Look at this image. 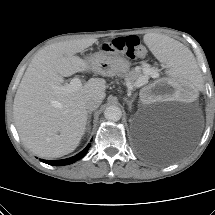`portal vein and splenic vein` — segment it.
<instances>
[{
	"mask_svg": "<svg viewBox=\"0 0 215 215\" xmlns=\"http://www.w3.org/2000/svg\"><path fill=\"white\" fill-rule=\"evenodd\" d=\"M152 77L153 78H157L158 77V73L157 72H153L152 73ZM138 87L143 86L144 84L147 83V78L142 77L140 78L138 81ZM82 86L81 80L79 77H74L69 84L63 85V86H56L55 89L59 92V93H71L74 92L76 90H78L80 87Z\"/></svg>",
	"mask_w": 215,
	"mask_h": 215,
	"instance_id": "18ae733b",
	"label": "portal vein and splenic vein"
}]
</instances>
